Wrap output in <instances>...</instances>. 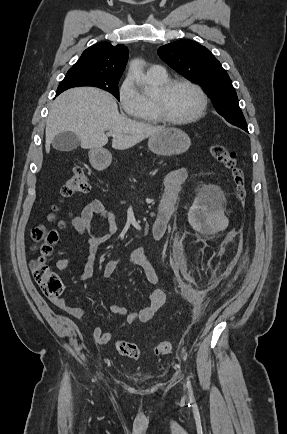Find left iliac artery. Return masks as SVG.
Returning <instances> with one entry per match:
<instances>
[{"mask_svg":"<svg viewBox=\"0 0 287 434\" xmlns=\"http://www.w3.org/2000/svg\"><path fill=\"white\" fill-rule=\"evenodd\" d=\"M187 387L189 389V392L192 393V387H191V382H190L189 377H188V380H187Z\"/></svg>","mask_w":287,"mask_h":434,"instance_id":"left-iliac-artery-1","label":"left iliac artery"}]
</instances>
